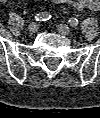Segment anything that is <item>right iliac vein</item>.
I'll list each match as a JSON object with an SVG mask.
<instances>
[{"label": "right iliac vein", "mask_w": 100, "mask_h": 118, "mask_svg": "<svg viewBox=\"0 0 100 118\" xmlns=\"http://www.w3.org/2000/svg\"><path fill=\"white\" fill-rule=\"evenodd\" d=\"M37 30H38V24L35 23V22L31 23V24L28 26V31H29L30 33H35V32H37Z\"/></svg>", "instance_id": "obj_1"}]
</instances>
